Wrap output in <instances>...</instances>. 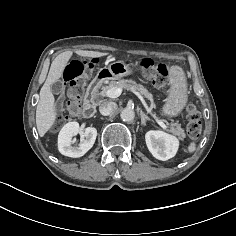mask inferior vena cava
<instances>
[{
    "mask_svg": "<svg viewBox=\"0 0 236 236\" xmlns=\"http://www.w3.org/2000/svg\"><path fill=\"white\" fill-rule=\"evenodd\" d=\"M114 110V105L111 102H104L99 106V111L103 116H108L112 114Z\"/></svg>",
    "mask_w": 236,
    "mask_h": 236,
    "instance_id": "inferior-vena-cava-1",
    "label": "inferior vena cava"
}]
</instances>
